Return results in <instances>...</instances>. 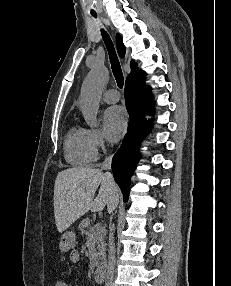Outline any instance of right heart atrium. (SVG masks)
Returning a JSON list of instances; mask_svg holds the SVG:
<instances>
[{"label":"right heart atrium","mask_w":231,"mask_h":286,"mask_svg":"<svg viewBox=\"0 0 231 286\" xmlns=\"http://www.w3.org/2000/svg\"><path fill=\"white\" fill-rule=\"evenodd\" d=\"M90 141L93 147L98 150H104L107 146V142L103 132L97 128L88 129Z\"/></svg>","instance_id":"1"}]
</instances>
